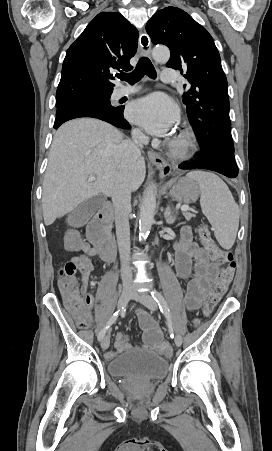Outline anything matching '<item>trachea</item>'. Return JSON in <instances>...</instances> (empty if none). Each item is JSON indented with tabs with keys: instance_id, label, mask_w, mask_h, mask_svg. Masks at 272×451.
I'll return each mask as SVG.
<instances>
[{
	"instance_id": "3493384b",
	"label": "trachea",
	"mask_w": 272,
	"mask_h": 451,
	"mask_svg": "<svg viewBox=\"0 0 272 451\" xmlns=\"http://www.w3.org/2000/svg\"><path fill=\"white\" fill-rule=\"evenodd\" d=\"M144 75H148V77L150 78H156L155 68L152 65L149 58L146 57L140 58L133 72L120 73V75H118V78H120V80H125V82L130 83V85H133V83H136L139 80H141V78L144 77Z\"/></svg>"
}]
</instances>
